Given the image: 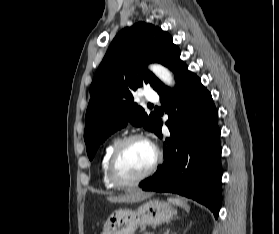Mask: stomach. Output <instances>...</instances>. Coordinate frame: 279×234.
Listing matches in <instances>:
<instances>
[{"label": "stomach", "mask_w": 279, "mask_h": 234, "mask_svg": "<svg viewBox=\"0 0 279 234\" xmlns=\"http://www.w3.org/2000/svg\"><path fill=\"white\" fill-rule=\"evenodd\" d=\"M174 208L168 202L148 201L137 210L120 209L112 213L101 234H135L138 227L156 226L172 219Z\"/></svg>", "instance_id": "stomach-1"}]
</instances>
